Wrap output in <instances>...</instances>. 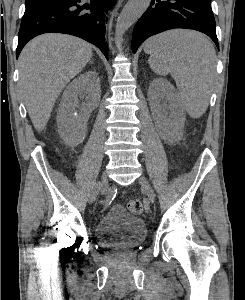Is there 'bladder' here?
I'll return each mask as SVG.
<instances>
[{
    "instance_id": "31cf9c89",
    "label": "bladder",
    "mask_w": 245,
    "mask_h": 300,
    "mask_svg": "<svg viewBox=\"0 0 245 300\" xmlns=\"http://www.w3.org/2000/svg\"><path fill=\"white\" fill-rule=\"evenodd\" d=\"M146 233L144 220L119 205H114L95 226L98 242L114 250H129L141 245Z\"/></svg>"
}]
</instances>
